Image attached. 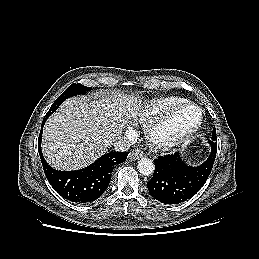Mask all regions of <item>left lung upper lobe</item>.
I'll return each instance as SVG.
<instances>
[{"label": "left lung upper lobe", "instance_id": "left-lung-upper-lobe-1", "mask_svg": "<svg viewBox=\"0 0 259 259\" xmlns=\"http://www.w3.org/2000/svg\"><path fill=\"white\" fill-rule=\"evenodd\" d=\"M216 140V130L215 127L213 129V133H212V140L209 141V143H214Z\"/></svg>", "mask_w": 259, "mask_h": 259}]
</instances>
